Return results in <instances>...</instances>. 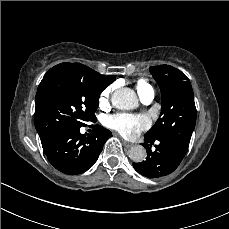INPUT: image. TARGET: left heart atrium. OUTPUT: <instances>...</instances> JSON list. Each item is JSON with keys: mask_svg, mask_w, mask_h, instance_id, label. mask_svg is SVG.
<instances>
[{"mask_svg": "<svg viewBox=\"0 0 229 229\" xmlns=\"http://www.w3.org/2000/svg\"><path fill=\"white\" fill-rule=\"evenodd\" d=\"M107 125L126 137H136L147 130L150 121L143 115L116 114L107 120Z\"/></svg>", "mask_w": 229, "mask_h": 229, "instance_id": "39dd6f15", "label": "left heart atrium"}]
</instances>
